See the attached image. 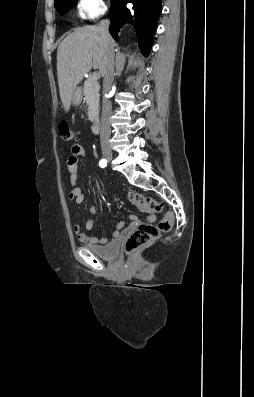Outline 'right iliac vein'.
Listing matches in <instances>:
<instances>
[{
	"instance_id": "1",
	"label": "right iliac vein",
	"mask_w": 254,
	"mask_h": 397,
	"mask_svg": "<svg viewBox=\"0 0 254 397\" xmlns=\"http://www.w3.org/2000/svg\"><path fill=\"white\" fill-rule=\"evenodd\" d=\"M103 156H104V158H105L106 160H108V161H111V160H112V154H111L110 152H105V153L103 154Z\"/></svg>"
}]
</instances>
